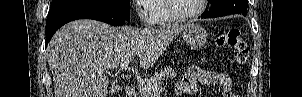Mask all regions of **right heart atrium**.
I'll return each mask as SVG.
<instances>
[{
  "label": "right heart atrium",
  "instance_id": "d8ad5b80",
  "mask_svg": "<svg viewBox=\"0 0 302 97\" xmlns=\"http://www.w3.org/2000/svg\"><path fill=\"white\" fill-rule=\"evenodd\" d=\"M135 2L137 4L135 9L139 21L147 25L154 24L156 15L150 7L153 4V0H137Z\"/></svg>",
  "mask_w": 302,
  "mask_h": 97
}]
</instances>
